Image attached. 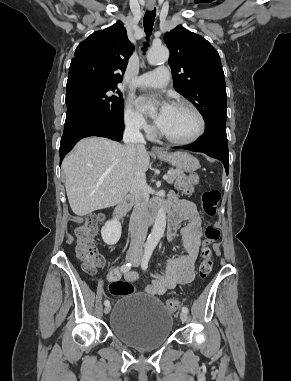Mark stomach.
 <instances>
[{
	"label": "stomach",
	"instance_id": "0dacf381",
	"mask_svg": "<svg viewBox=\"0 0 291 381\" xmlns=\"http://www.w3.org/2000/svg\"><path fill=\"white\" fill-rule=\"evenodd\" d=\"M159 159L170 163L180 171L194 172L199 168V161L187 152L159 153Z\"/></svg>",
	"mask_w": 291,
	"mask_h": 381
}]
</instances>
